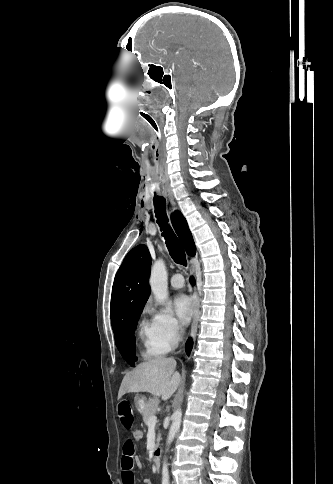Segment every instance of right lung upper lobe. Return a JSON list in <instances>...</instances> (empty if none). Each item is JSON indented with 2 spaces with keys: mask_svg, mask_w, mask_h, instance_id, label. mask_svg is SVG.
<instances>
[{
  "mask_svg": "<svg viewBox=\"0 0 333 484\" xmlns=\"http://www.w3.org/2000/svg\"><path fill=\"white\" fill-rule=\"evenodd\" d=\"M171 222L186 252L193 256L196 248L186 219L180 211H175ZM150 266V253L143 244L133 248L120 266L115 276L111 297V321L114 333L131 313L143 310L150 295Z\"/></svg>",
  "mask_w": 333,
  "mask_h": 484,
  "instance_id": "obj_1",
  "label": "right lung upper lobe"
}]
</instances>
